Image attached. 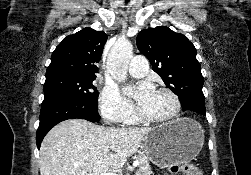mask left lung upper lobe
I'll return each mask as SVG.
<instances>
[{"label": "left lung upper lobe", "instance_id": "left-lung-upper-lobe-1", "mask_svg": "<svg viewBox=\"0 0 251 175\" xmlns=\"http://www.w3.org/2000/svg\"><path fill=\"white\" fill-rule=\"evenodd\" d=\"M136 44L167 87L182 105H204L203 76L196 59V49L188 38L166 26L142 30Z\"/></svg>", "mask_w": 251, "mask_h": 175}]
</instances>
